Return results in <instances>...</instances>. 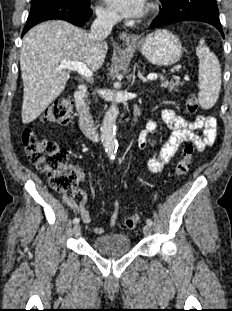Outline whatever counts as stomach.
Segmentation results:
<instances>
[{"mask_svg": "<svg viewBox=\"0 0 232 311\" xmlns=\"http://www.w3.org/2000/svg\"><path fill=\"white\" fill-rule=\"evenodd\" d=\"M130 45L137 47L148 61L158 66L176 63L183 53L179 39L165 29L154 31L139 43Z\"/></svg>", "mask_w": 232, "mask_h": 311, "instance_id": "0dacf381", "label": "stomach"}]
</instances>
